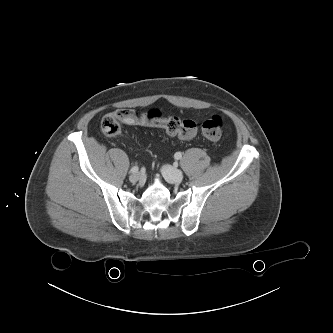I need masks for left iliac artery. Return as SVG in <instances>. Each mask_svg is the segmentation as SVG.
<instances>
[{
    "mask_svg": "<svg viewBox=\"0 0 333 333\" xmlns=\"http://www.w3.org/2000/svg\"><path fill=\"white\" fill-rule=\"evenodd\" d=\"M175 159L179 160L182 158V153L181 152H176L174 155Z\"/></svg>",
    "mask_w": 333,
    "mask_h": 333,
    "instance_id": "44dca946",
    "label": "left iliac artery"
}]
</instances>
